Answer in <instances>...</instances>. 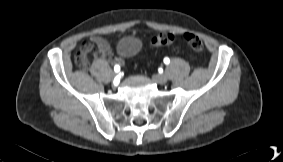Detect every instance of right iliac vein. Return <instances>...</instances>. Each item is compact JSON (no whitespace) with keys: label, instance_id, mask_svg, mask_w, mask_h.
I'll use <instances>...</instances> for the list:
<instances>
[{"label":"right iliac vein","instance_id":"63e3f726","mask_svg":"<svg viewBox=\"0 0 283 162\" xmlns=\"http://www.w3.org/2000/svg\"><path fill=\"white\" fill-rule=\"evenodd\" d=\"M117 73L116 72H113L112 74H111V79H115V78H117Z\"/></svg>","mask_w":283,"mask_h":162}]
</instances>
